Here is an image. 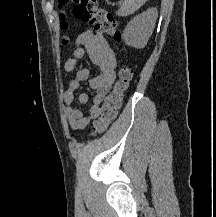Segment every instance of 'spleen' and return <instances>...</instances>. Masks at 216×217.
Instances as JSON below:
<instances>
[{"label": "spleen", "instance_id": "3e777b00", "mask_svg": "<svg viewBox=\"0 0 216 217\" xmlns=\"http://www.w3.org/2000/svg\"><path fill=\"white\" fill-rule=\"evenodd\" d=\"M148 0H123L120 9L118 10V16H128L136 12L142 5Z\"/></svg>", "mask_w": 216, "mask_h": 217}]
</instances>
